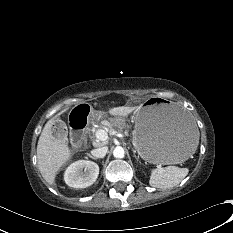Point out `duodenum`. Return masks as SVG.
I'll use <instances>...</instances> for the list:
<instances>
[{
	"label": "duodenum",
	"instance_id": "1",
	"mask_svg": "<svg viewBox=\"0 0 233 233\" xmlns=\"http://www.w3.org/2000/svg\"><path fill=\"white\" fill-rule=\"evenodd\" d=\"M90 115V106L86 103H79L75 106L74 112L70 116V128L73 140L78 145L83 144L85 141Z\"/></svg>",
	"mask_w": 233,
	"mask_h": 233
}]
</instances>
